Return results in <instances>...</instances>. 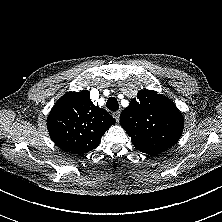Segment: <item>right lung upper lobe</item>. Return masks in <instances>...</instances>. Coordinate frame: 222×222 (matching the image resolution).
Instances as JSON below:
<instances>
[{
  "mask_svg": "<svg viewBox=\"0 0 222 222\" xmlns=\"http://www.w3.org/2000/svg\"><path fill=\"white\" fill-rule=\"evenodd\" d=\"M114 124L106 110L92 103L87 90L65 94L47 118L53 142L64 151L79 155L97 147L105 131Z\"/></svg>",
  "mask_w": 222,
  "mask_h": 222,
  "instance_id": "obj_1",
  "label": "right lung upper lobe"
}]
</instances>
